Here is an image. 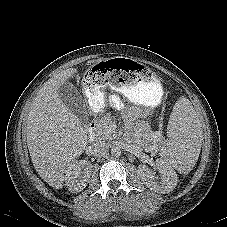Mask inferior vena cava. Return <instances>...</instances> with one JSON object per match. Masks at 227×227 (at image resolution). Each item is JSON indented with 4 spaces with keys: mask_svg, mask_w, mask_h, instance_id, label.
Returning <instances> with one entry per match:
<instances>
[{
    "mask_svg": "<svg viewBox=\"0 0 227 227\" xmlns=\"http://www.w3.org/2000/svg\"><path fill=\"white\" fill-rule=\"evenodd\" d=\"M93 153L97 156H104L109 151V144L105 141H97L93 145Z\"/></svg>",
    "mask_w": 227,
    "mask_h": 227,
    "instance_id": "1",
    "label": "inferior vena cava"
}]
</instances>
